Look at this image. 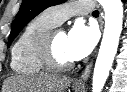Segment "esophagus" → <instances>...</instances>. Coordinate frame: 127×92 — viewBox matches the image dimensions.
<instances>
[{
	"instance_id": "obj_1",
	"label": "esophagus",
	"mask_w": 127,
	"mask_h": 92,
	"mask_svg": "<svg viewBox=\"0 0 127 92\" xmlns=\"http://www.w3.org/2000/svg\"><path fill=\"white\" fill-rule=\"evenodd\" d=\"M92 64H93V62L91 61L86 65L84 71L81 74V77L74 82L75 87L83 88L85 86V83L90 76Z\"/></svg>"
}]
</instances>
